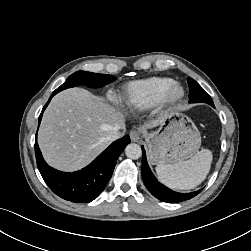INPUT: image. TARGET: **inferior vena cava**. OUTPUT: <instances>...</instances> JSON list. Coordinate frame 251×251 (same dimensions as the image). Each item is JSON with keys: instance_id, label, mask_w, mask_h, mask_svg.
Wrapping results in <instances>:
<instances>
[{"instance_id": "1", "label": "inferior vena cava", "mask_w": 251, "mask_h": 251, "mask_svg": "<svg viewBox=\"0 0 251 251\" xmlns=\"http://www.w3.org/2000/svg\"><path fill=\"white\" fill-rule=\"evenodd\" d=\"M120 128L125 129V125H123L121 127L114 128L110 132V134L106 137L107 141L112 142V141L118 139L122 135V132L119 131Z\"/></svg>"}]
</instances>
